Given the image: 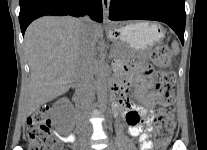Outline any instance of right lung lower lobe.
Masks as SVG:
<instances>
[{
    "instance_id": "1",
    "label": "right lung lower lobe",
    "mask_w": 207,
    "mask_h": 150,
    "mask_svg": "<svg viewBox=\"0 0 207 150\" xmlns=\"http://www.w3.org/2000/svg\"><path fill=\"white\" fill-rule=\"evenodd\" d=\"M88 12L90 17L102 22L101 0H20L19 21L22 34L27 26L35 19L46 16L71 15L79 17Z\"/></svg>"
}]
</instances>
